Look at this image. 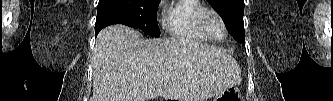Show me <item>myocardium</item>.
<instances>
[{"instance_id":"f54148a6","label":"myocardium","mask_w":333,"mask_h":101,"mask_svg":"<svg viewBox=\"0 0 333 101\" xmlns=\"http://www.w3.org/2000/svg\"><path fill=\"white\" fill-rule=\"evenodd\" d=\"M206 14H213L217 17V19L220 21L222 28H223V35L220 38H215L213 36H211V34L209 33V31L207 30L205 23H204V18L206 16ZM196 26L197 28L200 30V32L202 34H204L209 40L212 41H221L224 38H226L227 34H228V29H227V25L225 23V20L223 19V17L221 16V14L216 11L215 9L212 8H208V7H203L201 8L197 14H196Z\"/></svg>"}]
</instances>
